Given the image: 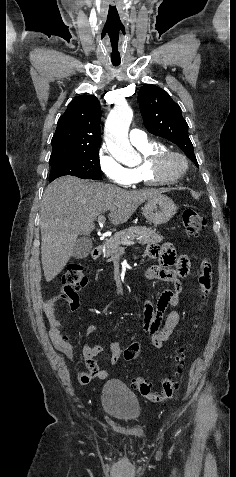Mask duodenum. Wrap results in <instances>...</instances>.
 Masks as SVG:
<instances>
[{
	"label": "duodenum",
	"instance_id": "1",
	"mask_svg": "<svg viewBox=\"0 0 236 477\" xmlns=\"http://www.w3.org/2000/svg\"><path fill=\"white\" fill-rule=\"evenodd\" d=\"M101 251H102V245L101 244L96 245L92 250V257L94 259L98 258L101 254Z\"/></svg>",
	"mask_w": 236,
	"mask_h": 477
}]
</instances>
